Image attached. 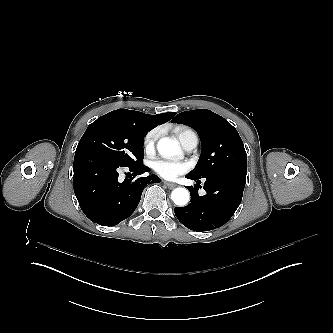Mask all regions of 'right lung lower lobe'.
Returning <instances> with one entry per match:
<instances>
[{
  "label": "right lung lower lobe",
  "mask_w": 333,
  "mask_h": 333,
  "mask_svg": "<svg viewBox=\"0 0 333 333\" xmlns=\"http://www.w3.org/2000/svg\"><path fill=\"white\" fill-rule=\"evenodd\" d=\"M119 164L94 150H76L74 192L83 213L102 226H114L128 218L140 202L144 187L160 182L156 175L118 180ZM133 176L149 172L143 164L128 166Z\"/></svg>",
  "instance_id": "obj_1"
}]
</instances>
